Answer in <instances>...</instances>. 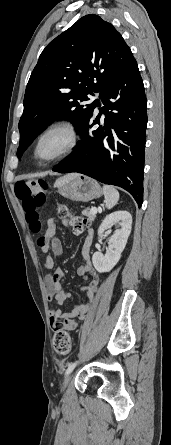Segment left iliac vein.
Segmentation results:
<instances>
[{"instance_id":"4c4485c4","label":"left iliac vein","mask_w":171,"mask_h":445,"mask_svg":"<svg viewBox=\"0 0 171 445\" xmlns=\"http://www.w3.org/2000/svg\"><path fill=\"white\" fill-rule=\"evenodd\" d=\"M72 371H73V370H72ZM72 371H71V372H72ZM71 372H69L68 374H66V377H68V376H69V374H70ZM62 388L64 389V386H63Z\"/></svg>"}]
</instances>
